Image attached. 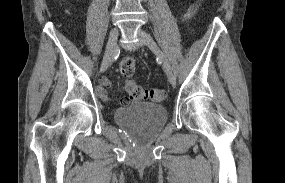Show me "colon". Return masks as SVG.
I'll list each match as a JSON object with an SVG mask.
<instances>
[{
    "instance_id": "5ec220e1",
    "label": "colon",
    "mask_w": 285,
    "mask_h": 183,
    "mask_svg": "<svg viewBox=\"0 0 285 183\" xmlns=\"http://www.w3.org/2000/svg\"><path fill=\"white\" fill-rule=\"evenodd\" d=\"M119 69L121 75L126 78L125 89L130 99L161 102L166 98L167 93L164 89L144 88L131 80L136 71V63L133 58H124L120 63ZM122 102L126 103L127 99H123Z\"/></svg>"
}]
</instances>
